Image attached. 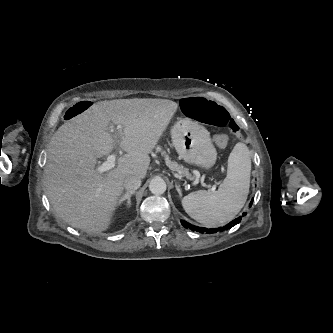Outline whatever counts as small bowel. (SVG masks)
Here are the masks:
<instances>
[{
    "mask_svg": "<svg viewBox=\"0 0 333 333\" xmlns=\"http://www.w3.org/2000/svg\"><path fill=\"white\" fill-rule=\"evenodd\" d=\"M232 141H233V138L230 135V133L227 131H224L221 134H214L211 137V144L214 147H218V148H225L226 146L231 144Z\"/></svg>",
    "mask_w": 333,
    "mask_h": 333,
    "instance_id": "obj_1",
    "label": "small bowel"
}]
</instances>
